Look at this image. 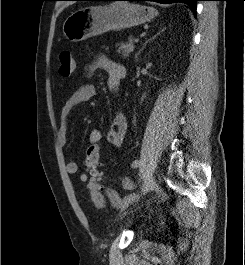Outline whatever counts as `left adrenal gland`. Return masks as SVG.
Returning <instances> with one entry per match:
<instances>
[{
  "label": "left adrenal gland",
  "mask_w": 245,
  "mask_h": 265,
  "mask_svg": "<svg viewBox=\"0 0 245 265\" xmlns=\"http://www.w3.org/2000/svg\"><path fill=\"white\" fill-rule=\"evenodd\" d=\"M165 28L161 29L156 35H154L151 39L145 41L143 47L138 51V53L135 55V60L138 62V56L140 55L141 51L146 47L147 43L154 40L158 35H160L161 32H163Z\"/></svg>",
  "instance_id": "a2214340"
}]
</instances>
